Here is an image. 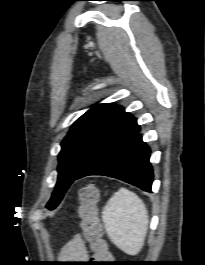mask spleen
I'll return each instance as SVG.
<instances>
[{"mask_svg": "<svg viewBox=\"0 0 205 265\" xmlns=\"http://www.w3.org/2000/svg\"><path fill=\"white\" fill-rule=\"evenodd\" d=\"M105 230L110 240L124 253L137 255L144 246L149 216L141 198L120 188L102 211Z\"/></svg>", "mask_w": 205, "mask_h": 265, "instance_id": "obj_1", "label": "spleen"}]
</instances>
